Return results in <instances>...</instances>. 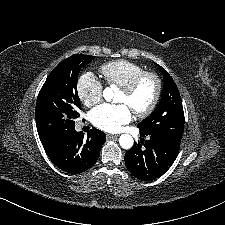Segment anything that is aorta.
Returning a JSON list of instances; mask_svg holds the SVG:
<instances>
[{
    "label": "aorta",
    "mask_w": 225,
    "mask_h": 225,
    "mask_svg": "<svg viewBox=\"0 0 225 225\" xmlns=\"http://www.w3.org/2000/svg\"><path fill=\"white\" fill-rule=\"evenodd\" d=\"M113 88L107 87L103 91V97L106 101H111L113 98ZM133 137L129 134H122L119 138V144L123 149H130L133 146Z\"/></svg>",
    "instance_id": "obj_1"
}]
</instances>
